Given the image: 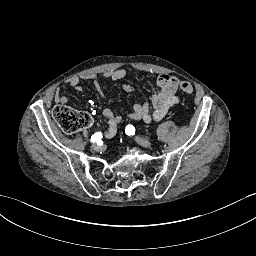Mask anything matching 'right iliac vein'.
<instances>
[{
  "mask_svg": "<svg viewBox=\"0 0 256 256\" xmlns=\"http://www.w3.org/2000/svg\"><path fill=\"white\" fill-rule=\"evenodd\" d=\"M92 149L94 151L100 152V151H102L104 149V146L102 144H98L97 143V144H93L92 145Z\"/></svg>",
  "mask_w": 256,
  "mask_h": 256,
  "instance_id": "obj_1",
  "label": "right iliac vein"
}]
</instances>
